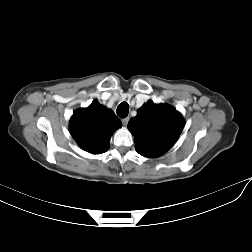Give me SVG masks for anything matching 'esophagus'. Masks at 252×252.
<instances>
[{"label": "esophagus", "mask_w": 252, "mask_h": 252, "mask_svg": "<svg viewBox=\"0 0 252 252\" xmlns=\"http://www.w3.org/2000/svg\"><path fill=\"white\" fill-rule=\"evenodd\" d=\"M129 121V117L123 118L122 123L126 126Z\"/></svg>", "instance_id": "34e87169"}]
</instances>
